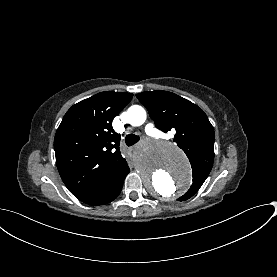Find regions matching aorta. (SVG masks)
<instances>
[{"label":"aorta","mask_w":277,"mask_h":277,"mask_svg":"<svg viewBox=\"0 0 277 277\" xmlns=\"http://www.w3.org/2000/svg\"><path fill=\"white\" fill-rule=\"evenodd\" d=\"M127 120L132 126L142 125L146 120L145 109L131 106ZM135 167L147 191L162 200L172 199L191 184L186 156L168 141L146 139L140 142L135 151Z\"/></svg>","instance_id":"762f6f07"}]
</instances>
